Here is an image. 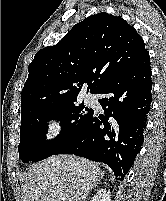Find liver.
Instances as JSON below:
<instances>
[{"label":"liver","instance_id":"6515ba94","mask_svg":"<svg viewBox=\"0 0 166 201\" xmlns=\"http://www.w3.org/2000/svg\"><path fill=\"white\" fill-rule=\"evenodd\" d=\"M102 174L97 163L84 158L49 157L22 174V201H83Z\"/></svg>","mask_w":166,"mask_h":201}]
</instances>
